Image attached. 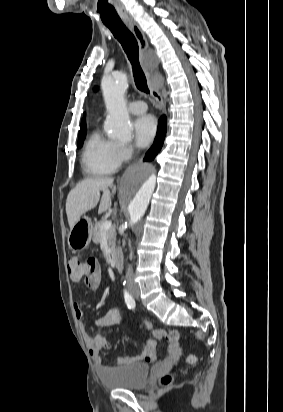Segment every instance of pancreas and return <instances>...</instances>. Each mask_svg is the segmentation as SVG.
I'll list each match as a JSON object with an SVG mask.
<instances>
[{
	"instance_id": "1",
	"label": "pancreas",
	"mask_w": 283,
	"mask_h": 412,
	"mask_svg": "<svg viewBox=\"0 0 283 412\" xmlns=\"http://www.w3.org/2000/svg\"><path fill=\"white\" fill-rule=\"evenodd\" d=\"M104 222V220H101L94 225L92 230L93 242L99 244L101 242L102 235L104 234L110 247V251L113 253L116 246V231L114 228H110L106 232L101 231V226Z\"/></svg>"
}]
</instances>
